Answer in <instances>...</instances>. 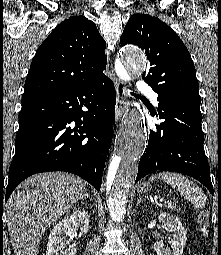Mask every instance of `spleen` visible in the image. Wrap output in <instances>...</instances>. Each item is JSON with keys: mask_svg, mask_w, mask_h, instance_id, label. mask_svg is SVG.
I'll return each mask as SVG.
<instances>
[{"mask_svg": "<svg viewBox=\"0 0 221 255\" xmlns=\"http://www.w3.org/2000/svg\"><path fill=\"white\" fill-rule=\"evenodd\" d=\"M160 179L180 192L184 198L191 200L194 208L202 209L206 204V196L191 180L180 174L163 172L151 176L150 180Z\"/></svg>", "mask_w": 221, "mask_h": 255, "instance_id": "3e777b00", "label": "spleen"}]
</instances>
